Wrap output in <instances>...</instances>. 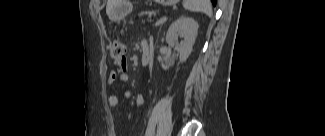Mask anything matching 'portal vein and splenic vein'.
Wrapping results in <instances>:
<instances>
[{
    "label": "portal vein and splenic vein",
    "instance_id": "1",
    "mask_svg": "<svg viewBox=\"0 0 325 136\" xmlns=\"http://www.w3.org/2000/svg\"><path fill=\"white\" fill-rule=\"evenodd\" d=\"M166 20H167L166 17H162V18H160V20L156 23V25H159V24L165 22Z\"/></svg>",
    "mask_w": 325,
    "mask_h": 136
}]
</instances>
